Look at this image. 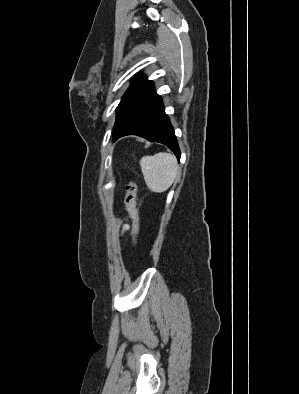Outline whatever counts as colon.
<instances>
[{
    "mask_svg": "<svg viewBox=\"0 0 299 394\" xmlns=\"http://www.w3.org/2000/svg\"><path fill=\"white\" fill-rule=\"evenodd\" d=\"M137 184L133 180H129L125 186V208L133 221V231H132V239L134 247L138 245V237L140 233V217L136 205V197H137Z\"/></svg>",
    "mask_w": 299,
    "mask_h": 394,
    "instance_id": "colon-1",
    "label": "colon"
}]
</instances>
